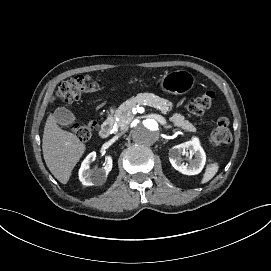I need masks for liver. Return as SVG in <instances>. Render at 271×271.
I'll list each match as a JSON object with an SVG mask.
<instances>
[{"label":"liver","instance_id":"obj_1","mask_svg":"<svg viewBox=\"0 0 271 271\" xmlns=\"http://www.w3.org/2000/svg\"><path fill=\"white\" fill-rule=\"evenodd\" d=\"M42 151L51 173L65 184L83 154L84 146L73 134L60 129L49 115L43 130Z\"/></svg>","mask_w":271,"mask_h":271}]
</instances>
